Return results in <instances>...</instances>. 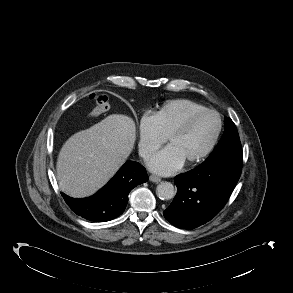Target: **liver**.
<instances>
[{
  "label": "liver",
  "instance_id": "obj_1",
  "mask_svg": "<svg viewBox=\"0 0 293 293\" xmlns=\"http://www.w3.org/2000/svg\"><path fill=\"white\" fill-rule=\"evenodd\" d=\"M135 132L132 118L112 114L72 135L58 155L56 169L60 189L74 198L94 194L132 152Z\"/></svg>",
  "mask_w": 293,
  "mask_h": 293
}]
</instances>
